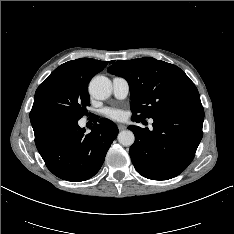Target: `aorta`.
Segmentation results:
<instances>
[{"instance_id":"1","label":"aorta","mask_w":234,"mask_h":234,"mask_svg":"<svg viewBox=\"0 0 234 234\" xmlns=\"http://www.w3.org/2000/svg\"><path fill=\"white\" fill-rule=\"evenodd\" d=\"M90 94L98 99L105 100L112 93V83L105 76L94 77L89 84ZM118 141L123 146H131L134 143L135 136L130 130H123L118 134Z\"/></svg>"}]
</instances>
